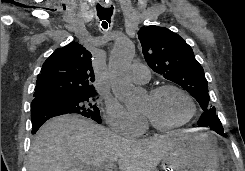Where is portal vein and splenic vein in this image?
Instances as JSON below:
<instances>
[{
    "label": "portal vein and splenic vein",
    "mask_w": 245,
    "mask_h": 171,
    "mask_svg": "<svg viewBox=\"0 0 245 171\" xmlns=\"http://www.w3.org/2000/svg\"><path fill=\"white\" fill-rule=\"evenodd\" d=\"M113 170V163L112 162H108L105 165V171H112Z\"/></svg>",
    "instance_id": "1"
}]
</instances>
